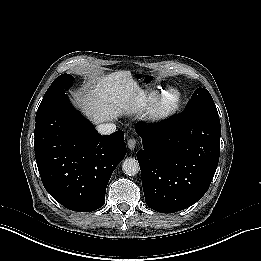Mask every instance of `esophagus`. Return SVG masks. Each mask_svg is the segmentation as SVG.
<instances>
[{"instance_id": "esophagus-1", "label": "esophagus", "mask_w": 261, "mask_h": 261, "mask_svg": "<svg viewBox=\"0 0 261 261\" xmlns=\"http://www.w3.org/2000/svg\"><path fill=\"white\" fill-rule=\"evenodd\" d=\"M138 141L135 138H130L127 142V146L131 151H134L137 147Z\"/></svg>"}]
</instances>
